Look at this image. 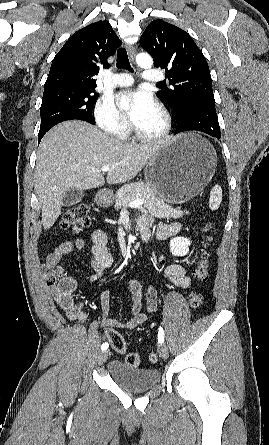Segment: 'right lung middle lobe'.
Returning a JSON list of instances; mask_svg holds the SVG:
<instances>
[{
  "instance_id": "obj_1",
  "label": "right lung middle lobe",
  "mask_w": 269,
  "mask_h": 445,
  "mask_svg": "<svg viewBox=\"0 0 269 445\" xmlns=\"http://www.w3.org/2000/svg\"><path fill=\"white\" fill-rule=\"evenodd\" d=\"M98 98L94 89L65 88L44 91L40 107V142L46 132L56 124L72 119L94 124L92 108Z\"/></svg>"
}]
</instances>
